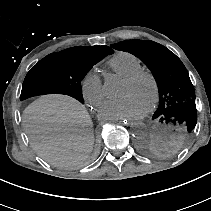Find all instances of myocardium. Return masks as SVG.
Wrapping results in <instances>:
<instances>
[{
  "label": "myocardium",
  "mask_w": 211,
  "mask_h": 211,
  "mask_svg": "<svg viewBox=\"0 0 211 211\" xmlns=\"http://www.w3.org/2000/svg\"><path fill=\"white\" fill-rule=\"evenodd\" d=\"M142 78L148 79L153 88V97H152L151 103L145 109L146 113H150L157 108L159 100H160V87L155 75L149 70L139 69L131 73L130 75L124 77V81L128 83H136Z\"/></svg>",
  "instance_id": "myocardium-1"
}]
</instances>
